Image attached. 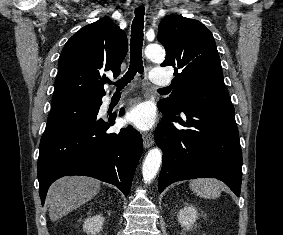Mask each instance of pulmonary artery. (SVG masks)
Masks as SVG:
<instances>
[{
	"label": "pulmonary artery",
	"mask_w": 283,
	"mask_h": 235,
	"mask_svg": "<svg viewBox=\"0 0 283 235\" xmlns=\"http://www.w3.org/2000/svg\"><path fill=\"white\" fill-rule=\"evenodd\" d=\"M151 81L160 87H165L171 84V79L167 76L166 71L160 69H152L151 72ZM127 94V92H123L122 95ZM112 95H107L106 100L108 101Z\"/></svg>",
	"instance_id": "e3ab8cb5"
}]
</instances>
